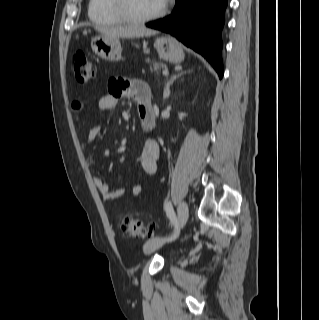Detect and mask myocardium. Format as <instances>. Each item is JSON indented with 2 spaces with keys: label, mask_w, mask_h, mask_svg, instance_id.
I'll return each mask as SVG.
<instances>
[{
  "label": "myocardium",
  "mask_w": 319,
  "mask_h": 320,
  "mask_svg": "<svg viewBox=\"0 0 319 320\" xmlns=\"http://www.w3.org/2000/svg\"><path fill=\"white\" fill-rule=\"evenodd\" d=\"M110 6L114 13L120 17L124 22L131 24H142L151 22L162 17L166 12V6L162 5V7L156 11L155 13L148 16H136L134 15L128 6V0H110Z\"/></svg>",
  "instance_id": "myocardium-1"
}]
</instances>
